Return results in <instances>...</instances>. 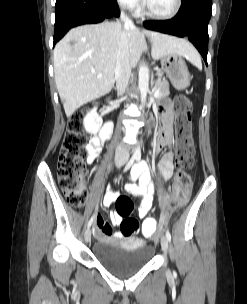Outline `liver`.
I'll list each match as a JSON object with an SVG mask.
<instances>
[{
  "mask_svg": "<svg viewBox=\"0 0 247 304\" xmlns=\"http://www.w3.org/2000/svg\"><path fill=\"white\" fill-rule=\"evenodd\" d=\"M122 32L127 34L131 67L137 65L146 50L145 36L152 43L154 60L169 54L184 56L188 60L198 56L194 47L184 39L153 31L141 32L119 22L106 21L73 28L54 49L55 83L68 118L81 106L113 88Z\"/></svg>",
  "mask_w": 247,
  "mask_h": 304,
  "instance_id": "6515ba94",
  "label": "liver"
}]
</instances>
